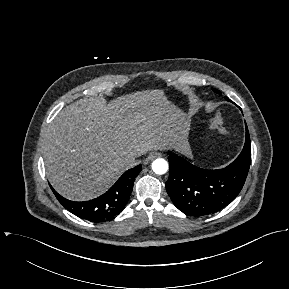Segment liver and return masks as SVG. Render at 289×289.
Returning <instances> with one entry per match:
<instances>
[{"label": "liver", "instance_id": "obj_1", "mask_svg": "<svg viewBox=\"0 0 289 289\" xmlns=\"http://www.w3.org/2000/svg\"><path fill=\"white\" fill-rule=\"evenodd\" d=\"M187 126L162 90L119 97L109 104L76 102L63 109L43 136L46 173L73 201L103 194L130 167L129 155L186 149Z\"/></svg>", "mask_w": 289, "mask_h": 289}]
</instances>
